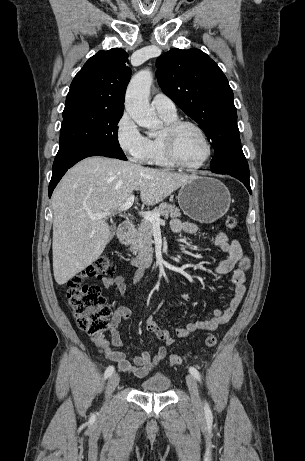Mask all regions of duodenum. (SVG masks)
Masks as SVG:
<instances>
[{
    "instance_id": "410a0bca",
    "label": "duodenum",
    "mask_w": 305,
    "mask_h": 461,
    "mask_svg": "<svg viewBox=\"0 0 305 461\" xmlns=\"http://www.w3.org/2000/svg\"><path fill=\"white\" fill-rule=\"evenodd\" d=\"M133 224L131 221L122 222L117 229V242L119 244H124L129 238ZM153 256L143 255L139 257L128 258L127 262L139 269H147L152 265Z\"/></svg>"
}]
</instances>
